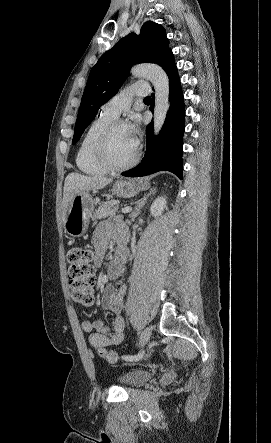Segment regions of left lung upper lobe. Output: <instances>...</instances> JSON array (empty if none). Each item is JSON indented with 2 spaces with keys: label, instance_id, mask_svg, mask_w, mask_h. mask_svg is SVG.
Returning a JSON list of instances; mask_svg holds the SVG:
<instances>
[{
  "label": "left lung upper lobe",
  "instance_id": "1",
  "mask_svg": "<svg viewBox=\"0 0 271 443\" xmlns=\"http://www.w3.org/2000/svg\"><path fill=\"white\" fill-rule=\"evenodd\" d=\"M164 28L152 21L139 35L130 33L105 52L91 69L79 108L72 144H76L99 108L113 97L137 63H157L168 51Z\"/></svg>",
  "mask_w": 271,
  "mask_h": 443
}]
</instances>
